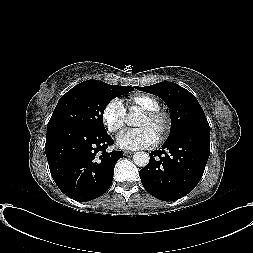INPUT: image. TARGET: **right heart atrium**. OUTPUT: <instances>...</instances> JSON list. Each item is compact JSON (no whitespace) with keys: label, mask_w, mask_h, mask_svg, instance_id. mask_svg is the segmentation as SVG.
Instances as JSON below:
<instances>
[{"label":"right heart atrium","mask_w":253,"mask_h":253,"mask_svg":"<svg viewBox=\"0 0 253 253\" xmlns=\"http://www.w3.org/2000/svg\"><path fill=\"white\" fill-rule=\"evenodd\" d=\"M101 117L104 126L111 133H120L126 126V109L118 98L110 100L105 105Z\"/></svg>","instance_id":"obj_1"}]
</instances>
